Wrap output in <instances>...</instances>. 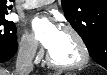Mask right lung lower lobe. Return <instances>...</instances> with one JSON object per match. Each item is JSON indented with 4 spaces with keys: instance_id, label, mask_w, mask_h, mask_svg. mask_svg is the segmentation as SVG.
<instances>
[{
    "instance_id": "right-lung-lower-lobe-1",
    "label": "right lung lower lobe",
    "mask_w": 107,
    "mask_h": 75,
    "mask_svg": "<svg viewBox=\"0 0 107 75\" xmlns=\"http://www.w3.org/2000/svg\"><path fill=\"white\" fill-rule=\"evenodd\" d=\"M17 47V43L13 45L0 46V62L3 63L12 58L17 51Z\"/></svg>"
}]
</instances>
